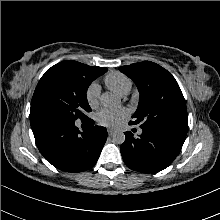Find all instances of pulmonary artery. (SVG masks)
<instances>
[{
	"label": "pulmonary artery",
	"mask_w": 220,
	"mask_h": 220,
	"mask_svg": "<svg viewBox=\"0 0 220 220\" xmlns=\"http://www.w3.org/2000/svg\"><path fill=\"white\" fill-rule=\"evenodd\" d=\"M141 133H142V131L140 130V131H139V134H141Z\"/></svg>",
	"instance_id": "pulmonary-artery-1"
}]
</instances>
